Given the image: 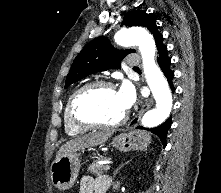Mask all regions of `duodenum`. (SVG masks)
<instances>
[{
	"mask_svg": "<svg viewBox=\"0 0 221 193\" xmlns=\"http://www.w3.org/2000/svg\"><path fill=\"white\" fill-rule=\"evenodd\" d=\"M97 193H105L103 190H99L97 191Z\"/></svg>",
	"mask_w": 221,
	"mask_h": 193,
	"instance_id": "1",
	"label": "duodenum"
}]
</instances>
